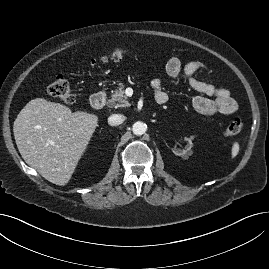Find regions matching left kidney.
Masks as SVG:
<instances>
[{
	"mask_svg": "<svg viewBox=\"0 0 269 269\" xmlns=\"http://www.w3.org/2000/svg\"><path fill=\"white\" fill-rule=\"evenodd\" d=\"M192 139H193L192 136L190 138H185L184 142L186 144L184 148L175 147L173 149V153L177 156H181L183 159H188L189 156L191 155V148L193 146Z\"/></svg>",
	"mask_w": 269,
	"mask_h": 269,
	"instance_id": "left-kidney-1",
	"label": "left kidney"
}]
</instances>
